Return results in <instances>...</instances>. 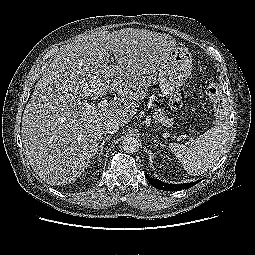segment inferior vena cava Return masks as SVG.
Returning <instances> with one entry per match:
<instances>
[{
  "mask_svg": "<svg viewBox=\"0 0 255 255\" xmlns=\"http://www.w3.org/2000/svg\"><path fill=\"white\" fill-rule=\"evenodd\" d=\"M105 132L108 134H115L119 130V125L116 121H108L105 125Z\"/></svg>",
  "mask_w": 255,
  "mask_h": 255,
  "instance_id": "602c4592",
  "label": "inferior vena cava"
}]
</instances>
